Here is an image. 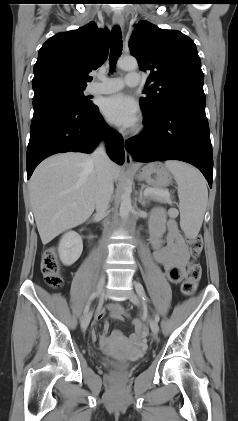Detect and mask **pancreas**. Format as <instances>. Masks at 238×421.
Wrapping results in <instances>:
<instances>
[{
    "label": "pancreas",
    "mask_w": 238,
    "mask_h": 421,
    "mask_svg": "<svg viewBox=\"0 0 238 421\" xmlns=\"http://www.w3.org/2000/svg\"><path fill=\"white\" fill-rule=\"evenodd\" d=\"M157 190H159V189H157ZM148 199L153 200V201H157V202H161V203L172 204V201L170 199V195L169 196H158V195L151 194V195H149Z\"/></svg>",
    "instance_id": "1"
}]
</instances>
